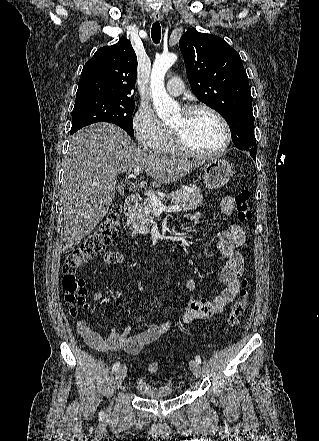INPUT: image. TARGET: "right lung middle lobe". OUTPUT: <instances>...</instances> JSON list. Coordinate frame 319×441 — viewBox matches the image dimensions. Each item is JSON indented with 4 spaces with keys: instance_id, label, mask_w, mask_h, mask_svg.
Here are the masks:
<instances>
[{
    "instance_id": "obj_1",
    "label": "right lung middle lobe",
    "mask_w": 319,
    "mask_h": 441,
    "mask_svg": "<svg viewBox=\"0 0 319 441\" xmlns=\"http://www.w3.org/2000/svg\"><path fill=\"white\" fill-rule=\"evenodd\" d=\"M133 111L134 100L132 99L104 97L76 99L70 133L92 123L109 122L120 126L133 136Z\"/></svg>"
}]
</instances>
